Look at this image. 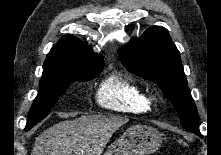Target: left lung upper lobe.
Returning a JSON list of instances; mask_svg holds the SVG:
<instances>
[{"label":"left lung upper lobe","instance_id":"5c2ea615","mask_svg":"<svg viewBox=\"0 0 221 155\" xmlns=\"http://www.w3.org/2000/svg\"><path fill=\"white\" fill-rule=\"evenodd\" d=\"M119 59L130 72L156 83L178 111L181 125L195 134L199 132L197 108L179 51L167 29L161 26L147 29L120 49Z\"/></svg>","mask_w":221,"mask_h":155}]
</instances>
